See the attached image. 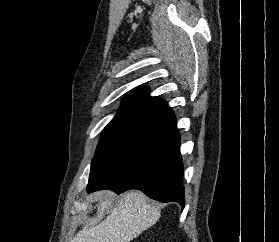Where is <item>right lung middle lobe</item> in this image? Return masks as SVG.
I'll return each mask as SVG.
<instances>
[{
  "instance_id": "1",
  "label": "right lung middle lobe",
  "mask_w": 279,
  "mask_h": 242,
  "mask_svg": "<svg viewBox=\"0 0 279 242\" xmlns=\"http://www.w3.org/2000/svg\"><path fill=\"white\" fill-rule=\"evenodd\" d=\"M162 118L141 114H117L104 128L91 163L90 180H100L150 140Z\"/></svg>"
}]
</instances>
